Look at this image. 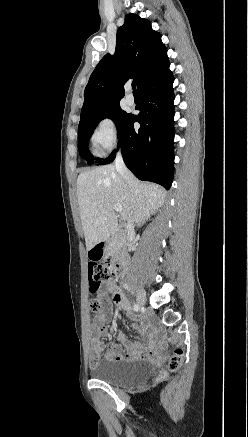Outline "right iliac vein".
Instances as JSON below:
<instances>
[{"mask_svg": "<svg viewBox=\"0 0 248 437\" xmlns=\"http://www.w3.org/2000/svg\"><path fill=\"white\" fill-rule=\"evenodd\" d=\"M136 300L139 306H143L146 302L145 292L142 289H137Z\"/></svg>", "mask_w": 248, "mask_h": 437, "instance_id": "63e3f726", "label": "right iliac vein"}]
</instances>
